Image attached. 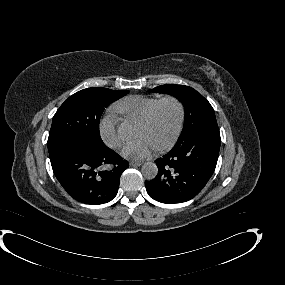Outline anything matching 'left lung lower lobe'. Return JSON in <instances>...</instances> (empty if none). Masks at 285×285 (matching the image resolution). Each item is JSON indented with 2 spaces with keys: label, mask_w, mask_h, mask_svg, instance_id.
<instances>
[{
  "label": "left lung lower lobe",
  "mask_w": 285,
  "mask_h": 285,
  "mask_svg": "<svg viewBox=\"0 0 285 285\" xmlns=\"http://www.w3.org/2000/svg\"><path fill=\"white\" fill-rule=\"evenodd\" d=\"M218 126L202 128L155 162L158 174L145 181L147 193L162 203H181L194 198L212 176L220 149Z\"/></svg>",
  "instance_id": "1"
}]
</instances>
